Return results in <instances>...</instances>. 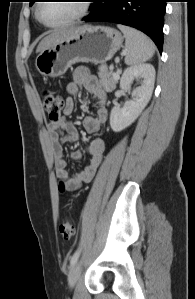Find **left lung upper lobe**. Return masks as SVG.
Returning a JSON list of instances; mask_svg holds the SVG:
<instances>
[{
    "mask_svg": "<svg viewBox=\"0 0 195 299\" xmlns=\"http://www.w3.org/2000/svg\"><path fill=\"white\" fill-rule=\"evenodd\" d=\"M30 1V6L35 2V0H29Z\"/></svg>",
    "mask_w": 195,
    "mask_h": 299,
    "instance_id": "left-lung-upper-lobe-1",
    "label": "left lung upper lobe"
}]
</instances>
